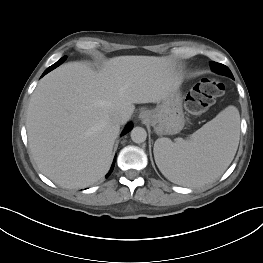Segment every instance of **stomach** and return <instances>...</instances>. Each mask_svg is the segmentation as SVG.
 I'll use <instances>...</instances> for the list:
<instances>
[{"label": "stomach", "instance_id": "stomach-1", "mask_svg": "<svg viewBox=\"0 0 263 263\" xmlns=\"http://www.w3.org/2000/svg\"><path fill=\"white\" fill-rule=\"evenodd\" d=\"M148 122L158 135H173L183 129L185 118L179 90L173 92L166 100L150 111Z\"/></svg>", "mask_w": 263, "mask_h": 263}]
</instances>
